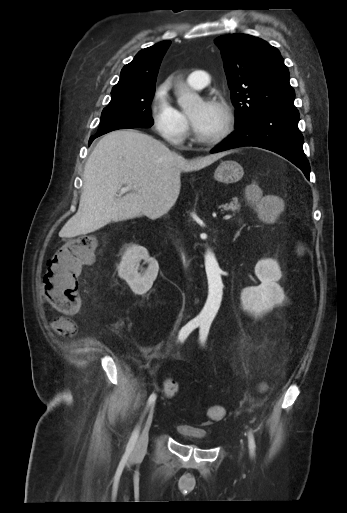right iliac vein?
Instances as JSON below:
<instances>
[{
    "label": "right iliac vein",
    "instance_id": "1",
    "mask_svg": "<svg viewBox=\"0 0 347 513\" xmlns=\"http://www.w3.org/2000/svg\"><path fill=\"white\" fill-rule=\"evenodd\" d=\"M153 411H154V404H152L150 407V410L146 417L142 432L136 442V446H135V449L133 452V454L136 457L143 455L147 449L149 430H150L152 420H153Z\"/></svg>",
    "mask_w": 347,
    "mask_h": 513
}]
</instances>
